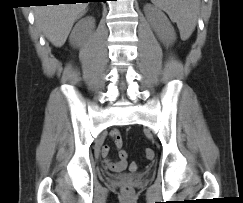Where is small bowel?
Instances as JSON below:
<instances>
[{
	"label": "small bowel",
	"instance_id": "obj_1",
	"mask_svg": "<svg viewBox=\"0 0 243 203\" xmlns=\"http://www.w3.org/2000/svg\"><path fill=\"white\" fill-rule=\"evenodd\" d=\"M110 136L117 148H120L122 146V138L120 135V132L118 130H112L110 132ZM101 155L104 159L105 165L114 172H122L123 170L126 169L127 162L126 158H122L120 156L119 152V160L118 161H113L110 159V146L105 144L101 147ZM137 168L136 163H131L130 164V169L135 170Z\"/></svg>",
	"mask_w": 243,
	"mask_h": 203
}]
</instances>
